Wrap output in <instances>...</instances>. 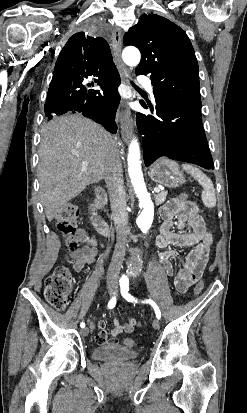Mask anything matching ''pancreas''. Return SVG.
Masks as SVG:
<instances>
[{
  "label": "pancreas",
  "instance_id": "obj_1",
  "mask_svg": "<svg viewBox=\"0 0 247 413\" xmlns=\"http://www.w3.org/2000/svg\"><path fill=\"white\" fill-rule=\"evenodd\" d=\"M166 196H167L166 190H162V192H158L155 198L156 204H162V202H165Z\"/></svg>",
  "mask_w": 247,
  "mask_h": 413
}]
</instances>
